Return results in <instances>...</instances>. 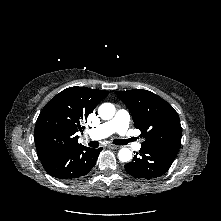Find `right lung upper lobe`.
<instances>
[{"label": "right lung upper lobe", "instance_id": "1", "mask_svg": "<svg viewBox=\"0 0 221 221\" xmlns=\"http://www.w3.org/2000/svg\"><path fill=\"white\" fill-rule=\"evenodd\" d=\"M108 91L70 87L53 97L41 111L35 125L37 152L78 145L76 133L82 131L83 120L107 95Z\"/></svg>", "mask_w": 221, "mask_h": 221}]
</instances>
